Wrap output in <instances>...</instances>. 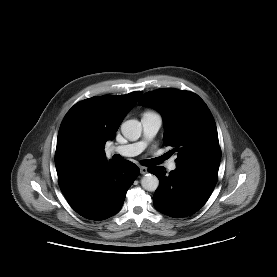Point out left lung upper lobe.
I'll return each instance as SVG.
<instances>
[{
	"instance_id": "left-lung-upper-lobe-1",
	"label": "left lung upper lobe",
	"mask_w": 277,
	"mask_h": 277,
	"mask_svg": "<svg viewBox=\"0 0 277 277\" xmlns=\"http://www.w3.org/2000/svg\"><path fill=\"white\" fill-rule=\"evenodd\" d=\"M139 105L158 109L164 119L163 143L174 147L178 167L198 164L219 166L221 151L214 118L196 94L173 88L145 93Z\"/></svg>"
}]
</instances>
